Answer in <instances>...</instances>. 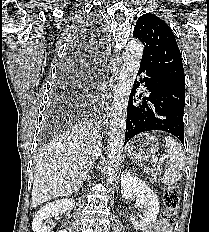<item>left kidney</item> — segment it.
Masks as SVG:
<instances>
[{"label":"left kidney","instance_id":"left-kidney-1","mask_svg":"<svg viewBox=\"0 0 209 232\" xmlns=\"http://www.w3.org/2000/svg\"><path fill=\"white\" fill-rule=\"evenodd\" d=\"M121 194L125 199H131L135 196L137 202L144 206V217L139 221L132 217L131 222L135 229L147 232L145 230L156 220L159 212L156 194L144 181L133 176L129 171H124L121 175Z\"/></svg>","mask_w":209,"mask_h":232}]
</instances>
